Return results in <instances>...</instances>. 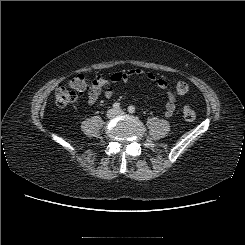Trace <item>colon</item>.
<instances>
[{
    "instance_id": "colon-1",
    "label": "colon",
    "mask_w": 245,
    "mask_h": 245,
    "mask_svg": "<svg viewBox=\"0 0 245 245\" xmlns=\"http://www.w3.org/2000/svg\"><path fill=\"white\" fill-rule=\"evenodd\" d=\"M91 87L89 79L83 75L78 74L73 77L68 86H59L54 93L55 103L59 107H66L72 104L78 95ZM190 91V86L186 82H178L174 87V94L183 96ZM183 116L187 121H193L196 118V112L190 107L183 108Z\"/></svg>"
}]
</instances>
